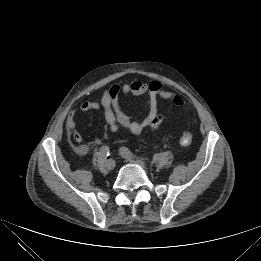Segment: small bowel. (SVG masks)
Wrapping results in <instances>:
<instances>
[{"instance_id": "1", "label": "small bowel", "mask_w": 261, "mask_h": 261, "mask_svg": "<svg viewBox=\"0 0 261 261\" xmlns=\"http://www.w3.org/2000/svg\"><path fill=\"white\" fill-rule=\"evenodd\" d=\"M121 95H134L146 97V115L143 119L133 121L122 110L119 98ZM173 93L162 88L158 80L144 82L133 80L130 82L116 83L106 89L99 101H85L80 105V111H101L104 120V130L117 133L124 130L131 135H139L145 129H157L164 117L158 111V100L170 99ZM75 111H71L65 121V126L70 139L74 143L76 152L85 155L89 148L83 144V137L77 130L74 119Z\"/></svg>"}]
</instances>
